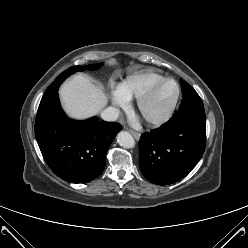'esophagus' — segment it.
Wrapping results in <instances>:
<instances>
[{
	"instance_id": "34e87169",
	"label": "esophagus",
	"mask_w": 248,
	"mask_h": 248,
	"mask_svg": "<svg viewBox=\"0 0 248 248\" xmlns=\"http://www.w3.org/2000/svg\"><path fill=\"white\" fill-rule=\"evenodd\" d=\"M129 132L133 135V137L135 139H139L140 138V134L138 132H135V131H132V130H129Z\"/></svg>"
}]
</instances>
